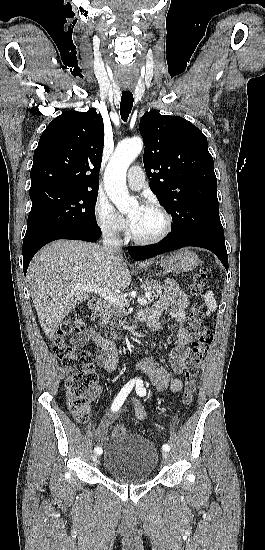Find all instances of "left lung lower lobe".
<instances>
[{"instance_id": "1", "label": "left lung lower lobe", "mask_w": 265, "mask_h": 550, "mask_svg": "<svg viewBox=\"0 0 265 550\" xmlns=\"http://www.w3.org/2000/svg\"><path fill=\"white\" fill-rule=\"evenodd\" d=\"M186 246L202 247L213 252L228 271V255L225 240L202 233H185L167 236L163 242L151 246L129 247L128 252L134 260H143Z\"/></svg>"}]
</instances>
